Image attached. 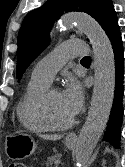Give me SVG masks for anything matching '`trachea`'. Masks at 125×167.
I'll list each match as a JSON object with an SVG mask.
<instances>
[{"label":"trachea","instance_id":"3493384b","mask_svg":"<svg viewBox=\"0 0 125 167\" xmlns=\"http://www.w3.org/2000/svg\"><path fill=\"white\" fill-rule=\"evenodd\" d=\"M91 58L89 56H86L84 58H82L81 62H90Z\"/></svg>","mask_w":125,"mask_h":167}]
</instances>
